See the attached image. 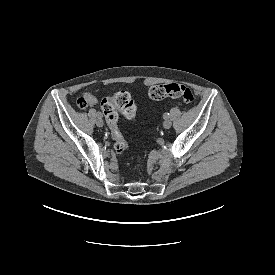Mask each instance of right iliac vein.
Instances as JSON below:
<instances>
[{
  "label": "right iliac vein",
  "instance_id": "obj_1",
  "mask_svg": "<svg viewBox=\"0 0 275 275\" xmlns=\"http://www.w3.org/2000/svg\"><path fill=\"white\" fill-rule=\"evenodd\" d=\"M96 124L98 127H102L104 125V122L101 117H98L96 120Z\"/></svg>",
  "mask_w": 275,
  "mask_h": 275
}]
</instances>
